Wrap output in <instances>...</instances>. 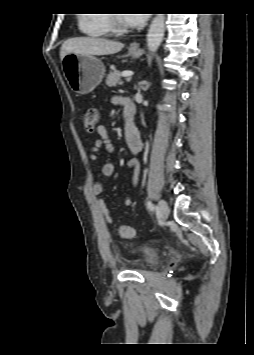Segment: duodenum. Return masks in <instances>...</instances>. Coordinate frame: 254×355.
I'll return each mask as SVG.
<instances>
[{"instance_id": "1", "label": "duodenum", "mask_w": 254, "mask_h": 355, "mask_svg": "<svg viewBox=\"0 0 254 355\" xmlns=\"http://www.w3.org/2000/svg\"><path fill=\"white\" fill-rule=\"evenodd\" d=\"M126 99H128V98H126ZM126 106H127V112L125 113L124 126H125V130L127 132H131L132 130H134L136 128L135 120H134V115H135L134 114V103H133V105H130V102L127 101Z\"/></svg>"}]
</instances>
